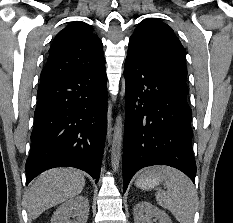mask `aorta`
Masks as SVG:
<instances>
[{
	"mask_svg": "<svg viewBox=\"0 0 233 223\" xmlns=\"http://www.w3.org/2000/svg\"><path fill=\"white\" fill-rule=\"evenodd\" d=\"M122 135H123V119L122 115L116 117V127L113 131L112 147H111V165L113 171H117L121 159L122 151Z\"/></svg>",
	"mask_w": 233,
	"mask_h": 223,
	"instance_id": "1",
	"label": "aorta"
}]
</instances>
